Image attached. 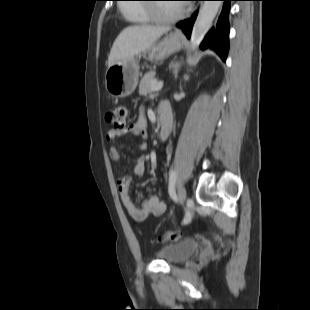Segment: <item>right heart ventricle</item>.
Masks as SVG:
<instances>
[{"label": "right heart ventricle", "mask_w": 310, "mask_h": 310, "mask_svg": "<svg viewBox=\"0 0 310 310\" xmlns=\"http://www.w3.org/2000/svg\"><path fill=\"white\" fill-rule=\"evenodd\" d=\"M124 16L134 24H147L152 21L150 13L146 7L143 6H127L122 7Z\"/></svg>", "instance_id": "right-heart-ventricle-1"}]
</instances>
